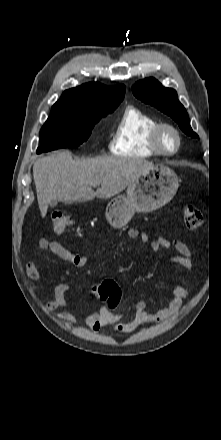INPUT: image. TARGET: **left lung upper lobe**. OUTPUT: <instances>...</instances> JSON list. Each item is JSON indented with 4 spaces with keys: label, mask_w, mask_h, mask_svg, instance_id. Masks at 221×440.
<instances>
[{
    "label": "left lung upper lobe",
    "mask_w": 221,
    "mask_h": 440,
    "mask_svg": "<svg viewBox=\"0 0 221 440\" xmlns=\"http://www.w3.org/2000/svg\"><path fill=\"white\" fill-rule=\"evenodd\" d=\"M133 94L141 101L150 104L172 117L187 135L198 137L193 132L188 114L177 98L174 89L163 87L156 79L147 78L132 87Z\"/></svg>",
    "instance_id": "obj_1"
}]
</instances>
